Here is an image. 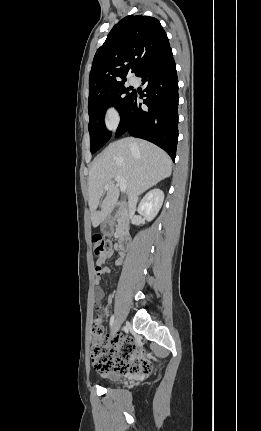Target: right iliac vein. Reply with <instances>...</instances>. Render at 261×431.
Masks as SVG:
<instances>
[{
    "instance_id": "obj_1",
    "label": "right iliac vein",
    "mask_w": 261,
    "mask_h": 431,
    "mask_svg": "<svg viewBox=\"0 0 261 431\" xmlns=\"http://www.w3.org/2000/svg\"><path fill=\"white\" fill-rule=\"evenodd\" d=\"M120 328V322L119 320H115L113 326H112V332L115 334Z\"/></svg>"
}]
</instances>
